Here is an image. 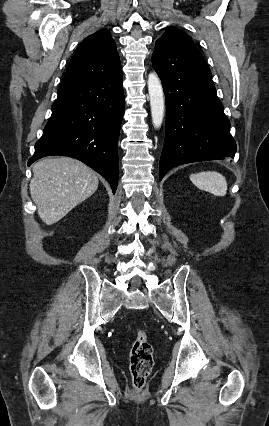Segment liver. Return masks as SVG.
<instances>
[{
  "label": "liver",
  "mask_w": 269,
  "mask_h": 426,
  "mask_svg": "<svg viewBox=\"0 0 269 426\" xmlns=\"http://www.w3.org/2000/svg\"><path fill=\"white\" fill-rule=\"evenodd\" d=\"M98 176L84 163L70 158H45L33 166L30 194L47 225L66 216L98 188Z\"/></svg>",
  "instance_id": "obj_1"
}]
</instances>
